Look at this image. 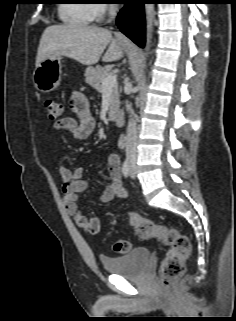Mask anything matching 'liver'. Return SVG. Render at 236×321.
<instances>
[{"instance_id": "6515ba94", "label": "liver", "mask_w": 236, "mask_h": 321, "mask_svg": "<svg viewBox=\"0 0 236 321\" xmlns=\"http://www.w3.org/2000/svg\"><path fill=\"white\" fill-rule=\"evenodd\" d=\"M123 55L120 41L108 29L88 25H53L47 27L41 36L36 67L54 56H66L83 65H93L101 57L103 62H114Z\"/></svg>"}]
</instances>
